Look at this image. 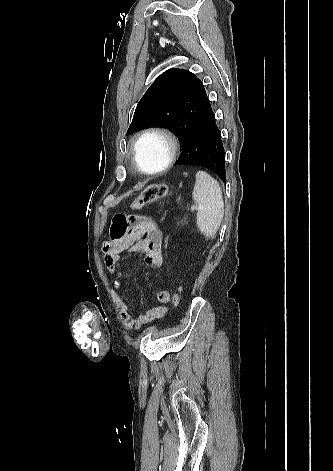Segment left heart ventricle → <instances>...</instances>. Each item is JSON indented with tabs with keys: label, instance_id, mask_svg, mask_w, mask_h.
Segmentation results:
<instances>
[{
	"label": "left heart ventricle",
	"instance_id": "obj_1",
	"mask_svg": "<svg viewBox=\"0 0 333 471\" xmlns=\"http://www.w3.org/2000/svg\"><path fill=\"white\" fill-rule=\"evenodd\" d=\"M168 147L159 136H148L137 147V160L146 170L159 168L166 160Z\"/></svg>",
	"mask_w": 333,
	"mask_h": 471
}]
</instances>
